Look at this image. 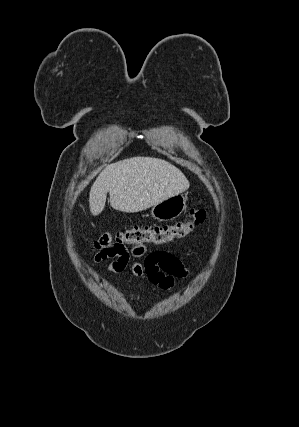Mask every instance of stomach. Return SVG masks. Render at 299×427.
<instances>
[{"instance_id":"obj_1","label":"stomach","mask_w":299,"mask_h":427,"mask_svg":"<svg viewBox=\"0 0 299 427\" xmlns=\"http://www.w3.org/2000/svg\"><path fill=\"white\" fill-rule=\"evenodd\" d=\"M186 208V198L177 194L152 206L151 216L158 221H170L179 217Z\"/></svg>"}]
</instances>
